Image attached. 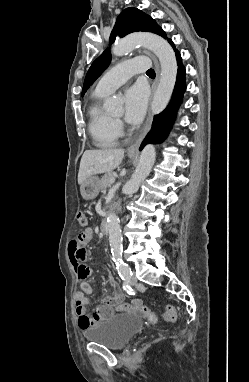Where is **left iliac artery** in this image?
Here are the masks:
<instances>
[{
    "label": "left iliac artery",
    "instance_id": "left-iliac-artery-1",
    "mask_svg": "<svg viewBox=\"0 0 249 382\" xmlns=\"http://www.w3.org/2000/svg\"><path fill=\"white\" fill-rule=\"evenodd\" d=\"M112 256H113V261L116 263L120 277L124 281H128L132 277V271H131V268L128 266V264L123 262L121 258L122 252L114 251L112 252Z\"/></svg>",
    "mask_w": 249,
    "mask_h": 382
}]
</instances>
